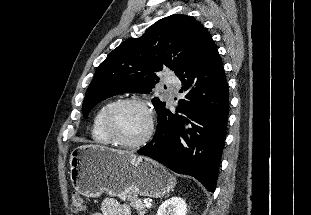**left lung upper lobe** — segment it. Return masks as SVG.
I'll use <instances>...</instances> for the list:
<instances>
[{
  "instance_id": "5c2ea615",
  "label": "left lung upper lobe",
  "mask_w": 311,
  "mask_h": 215,
  "mask_svg": "<svg viewBox=\"0 0 311 215\" xmlns=\"http://www.w3.org/2000/svg\"><path fill=\"white\" fill-rule=\"evenodd\" d=\"M209 32L196 19L174 14L163 18L139 38H130L114 49L97 68L83 102L86 118L104 99L124 93L149 94L158 82L156 72L176 71ZM156 112L165 105L153 98Z\"/></svg>"
}]
</instances>
